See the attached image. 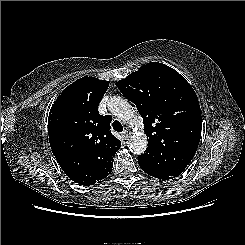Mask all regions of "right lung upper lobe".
Here are the masks:
<instances>
[{
	"mask_svg": "<svg viewBox=\"0 0 245 245\" xmlns=\"http://www.w3.org/2000/svg\"><path fill=\"white\" fill-rule=\"evenodd\" d=\"M109 81L82 77L57 97L48 117L52 152L61 167L76 171L79 184L88 186L102 179L99 163L121 147L111 134L112 117L98 113Z\"/></svg>",
	"mask_w": 245,
	"mask_h": 245,
	"instance_id": "right-lung-upper-lobe-1",
	"label": "right lung upper lobe"
}]
</instances>
